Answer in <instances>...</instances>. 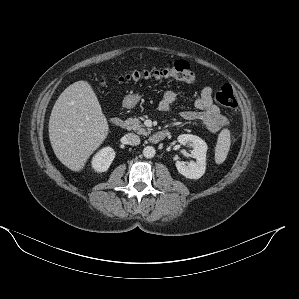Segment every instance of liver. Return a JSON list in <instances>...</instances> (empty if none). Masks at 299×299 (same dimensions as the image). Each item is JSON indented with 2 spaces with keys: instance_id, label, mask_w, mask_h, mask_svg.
<instances>
[{
  "instance_id": "1",
  "label": "liver",
  "mask_w": 299,
  "mask_h": 299,
  "mask_svg": "<svg viewBox=\"0 0 299 299\" xmlns=\"http://www.w3.org/2000/svg\"><path fill=\"white\" fill-rule=\"evenodd\" d=\"M52 149L67 168L80 171L103 143L109 126L91 85L77 81L58 97L49 119Z\"/></svg>"
}]
</instances>
